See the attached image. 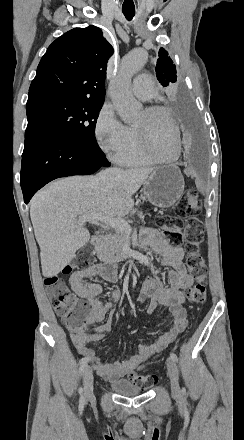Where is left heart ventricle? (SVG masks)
I'll return each mask as SVG.
<instances>
[{
	"label": "left heart ventricle",
	"mask_w": 244,
	"mask_h": 440,
	"mask_svg": "<svg viewBox=\"0 0 244 440\" xmlns=\"http://www.w3.org/2000/svg\"><path fill=\"white\" fill-rule=\"evenodd\" d=\"M167 120L165 111L154 113L143 111L134 125L148 130L145 141L147 146H155L157 151H162L163 156L170 157L173 151L174 135L168 131L172 127H169Z\"/></svg>",
	"instance_id": "b2bd125f"
}]
</instances>
